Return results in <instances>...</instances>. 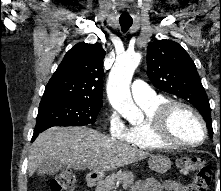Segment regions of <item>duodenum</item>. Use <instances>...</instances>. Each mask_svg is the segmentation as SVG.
Returning a JSON list of instances; mask_svg holds the SVG:
<instances>
[{"label":"duodenum","mask_w":221,"mask_h":191,"mask_svg":"<svg viewBox=\"0 0 221 191\" xmlns=\"http://www.w3.org/2000/svg\"><path fill=\"white\" fill-rule=\"evenodd\" d=\"M97 181V176L95 174H89L85 178V184L87 186L93 185Z\"/></svg>","instance_id":"1"}]
</instances>
